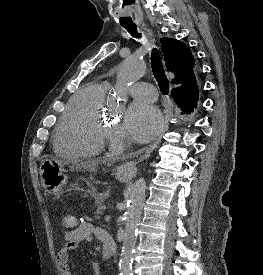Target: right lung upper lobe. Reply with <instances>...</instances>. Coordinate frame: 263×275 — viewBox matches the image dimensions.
<instances>
[{
  "label": "right lung upper lobe",
  "instance_id": "1",
  "mask_svg": "<svg viewBox=\"0 0 263 275\" xmlns=\"http://www.w3.org/2000/svg\"><path fill=\"white\" fill-rule=\"evenodd\" d=\"M161 48L167 69L175 74L173 82L177 85L176 88H185L187 97L183 107L187 112H192L197 106L199 90L197 82L190 80L195 65L191 50L186 44L172 38H162Z\"/></svg>",
  "mask_w": 263,
  "mask_h": 275
}]
</instances>
